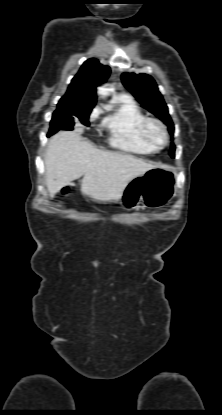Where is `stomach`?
Here are the masks:
<instances>
[{
  "label": "stomach",
  "mask_w": 222,
  "mask_h": 415,
  "mask_svg": "<svg viewBox=\"0 0 222 415\" xmlns=\"http://www.w3.org/2000/svg\"><path fill=\"white\" fill-rule=\"evenodd\" d=\"M177 191V173L171 166H159L131 179L124 188L120 203L128 210L141 203L160 208L171 201Z\"/></svg>",
  "instance_id": "stomach-1"
}]
</instances>
